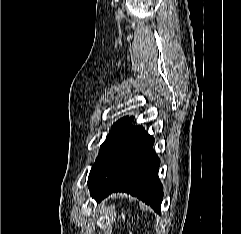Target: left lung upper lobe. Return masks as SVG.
I'll use <instances>...</instances> for the list:
<instances>
[{
    "mask_svg": "<svg viewBox=\"0 0 241 234\" xmlns=\"http://www.w3.org/2000/svg\"><path fill=\"white\" fill-rule=\"evenodd\" d=\"M128 118L129 117H124V118L118 120L113 125V128L111 129V132L107 136L106 141L101 145L99 155H98L94 165L92 166V169H91L90 174H89L88 186L90 185L91 181L96 176V174L98 173V171H99V169H100V167H101V165H102V163H103V161L106 157V154L108 153L112 143L114 142L115 138L117 137V135L121 131L122 127L124 126V124L128 120Z\"/></svg>",
    "mask_w": 241,
    "mask_h": 234,
    "instance_id": "1",
    "label": "left lung upper lobe"
}]
</instances>
